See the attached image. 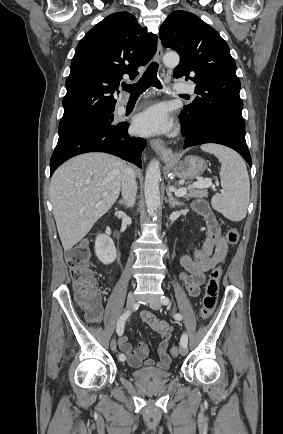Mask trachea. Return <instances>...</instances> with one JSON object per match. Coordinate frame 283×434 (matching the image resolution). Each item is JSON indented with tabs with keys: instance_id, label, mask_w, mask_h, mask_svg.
<instances>
[{
	"instance_id": "3493384b",
	"label": "trachea",
	"mask_w": 283,
	"mask_h": 434,
	"mask_svg": "<svg viewBox=\"0 0 283 434\" xmlns=\"http://www.w3.org/2000/svg\"><path fill=\"white\" fill-rule=\"evenodd\" d=\"M157 72H158V64L156 62H152L147 67L143 76L140 78V80L137 83L124 84L122 85V89L129 92L130 97H139L143 92H145L151 86L161 89L162 85L161 82L158 80Z\"/></svg>"
}]
</instances>
